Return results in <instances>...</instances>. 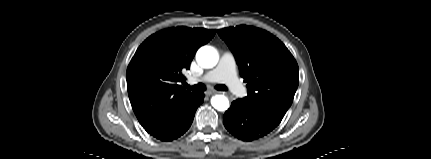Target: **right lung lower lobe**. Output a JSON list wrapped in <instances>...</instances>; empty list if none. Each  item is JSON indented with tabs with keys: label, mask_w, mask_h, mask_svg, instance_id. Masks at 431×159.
Masks as SVG:
<instances>
[{
	"label": "right lung lower lobe",
	"mask_w": 431,
	"mask_h": 159,
	"mask_svg": "<svg viewBox=\"0 0 431 159\" xmlns=\"http://www.w3.org/2000/svg\"><path fill=\"white\" fill-rule=\"evenodd\" d=\"M204 94L187 98L172 114L150 133L161 141H172L183 135L191 126L195 112L201 105Z\"/></svg>",
	"instance_id": "1"
}]
</instances>
